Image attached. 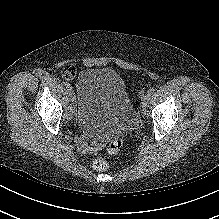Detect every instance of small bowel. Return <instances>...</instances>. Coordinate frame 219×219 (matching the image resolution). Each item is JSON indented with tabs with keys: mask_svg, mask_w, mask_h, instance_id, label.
Here are the masks:
<instances>
[{
	"mask_svg": "<svg viewBox=\"0 0 219 219\" xmlns=\"http://www.w3.org/2000/svg\"><path fill=\"white\" fill-rule=\"evenodd\" d=\"M79 145L82 151L88 154H96L103 147L102 143L100 142L93 143V144H87L86 142L82 140L79 142Z\"/></svg>",
	"mask_w": 219,
	"mask_h": 219,
	"instance_id": "1",
	"label": "small bowel"
}]
</instances>
